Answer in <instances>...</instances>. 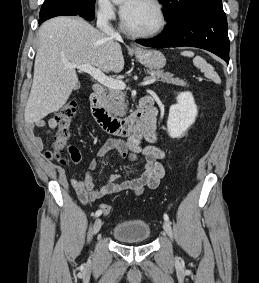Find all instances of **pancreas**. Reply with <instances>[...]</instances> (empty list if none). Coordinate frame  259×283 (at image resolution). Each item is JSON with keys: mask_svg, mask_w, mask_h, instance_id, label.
<instances>
[{"mask_svg": "<svg viewBox=\"0 0 259 283\" xmlns=\"http://www.w3.org/2000/svg\"><path fill=\"white\" fill-rule=\"evenodd\" d=\"M149 73L151 74V77L161 79L162 82L183 87L187 86L186 81L179 78H174L170 73L161 70H151ZM125 100V92L119 89L109 88L107 94L104 97V105L109 112H111L115 116L122 117L126 114L125 109L127 107V104L125 103Z\"/></svg>", "mask_w": 259, "mask_h": 283, "instance_id": "pancreas-1", "label": "pancreas"}]
</instances>
